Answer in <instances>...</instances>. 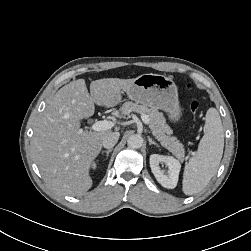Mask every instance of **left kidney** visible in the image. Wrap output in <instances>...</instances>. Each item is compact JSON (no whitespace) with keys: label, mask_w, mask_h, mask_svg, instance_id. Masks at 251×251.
Listing matches in <instances>:
<instances>
[{"label":"left kidney","mask_w":251,"mask_h":251,"mask_svg":"<svg viewBox=\"0 0 251 251\" xmlns=\"http://www.w3.org/2000/svg\"><path fill=\"white\" fill-rule=\"evenodd\" d=\"M150 167L156 180L165 188L174 189L177 186L179 172L181 169L180 162L172 156H163L152 154L150 156ZM165 163L168 166V174L160 169L159 163Z\"/></svg>","instance_id":"obj_1"}]
</instances>
